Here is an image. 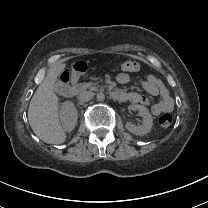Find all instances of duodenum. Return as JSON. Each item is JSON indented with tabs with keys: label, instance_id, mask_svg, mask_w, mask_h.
Instances as JSON below:
<instances>
[{
	"label": "duodenum",
	"instance_id": "1",
	"mask_svg": "<svg viewBox=\"0 0 208 208\" xmlns=\"http://www.w3.org/2000/svg\"><path fill=\"white\" fill-rule=\"evenodd\" d=\"M84 89V85L79 83V84H75L72 88H71V95H77L79 94L82 90ZM112 97L116 100H120V101H124L126 100V94L123 92H119V91H113L112 92Z\"/></svg>",
	"mask_w": 208,
	"mask_h": 208
}]
</instances>
